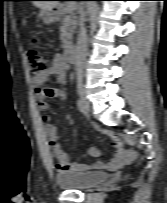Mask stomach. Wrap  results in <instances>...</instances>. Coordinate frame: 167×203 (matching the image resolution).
<instances>
[{
    "label": "stomach",
    "mask_w": 167,
    "mask_h": 203,
    "mask_svg": "<svg viewBox=\"0 0 167 203\" xmlns=\"http://www.w3.org/2000/svg\"><path fill=\"white\" fill-rule=\"evenodd\" d=\"M40 18L45 24H50L56 21L57 13L51 10H42L40 12Z\"/></svg>",
    "instance_id": "1"
}]
</instances>
